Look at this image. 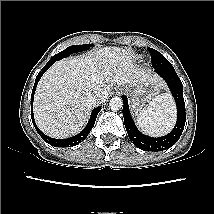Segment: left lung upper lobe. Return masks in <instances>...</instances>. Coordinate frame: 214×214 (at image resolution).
<instances>
[{
    "label": "left lung upper lobe",
    "instance_id": "5c2ea615",
    "mask_svg": "<svg viewBox=\"0 0 214 214\" xmlns=\"http://www.w3.org/2000/svg\"><path fill=\"white\" fill-rule=\"evenodd\" d=\"M149 52L152 57V66L154 69H171L173 68L171 63L158 51L149 48Z\"/></svg>",
    "mask_w": 214,
    "mask_h": 214
}]
</instances>
